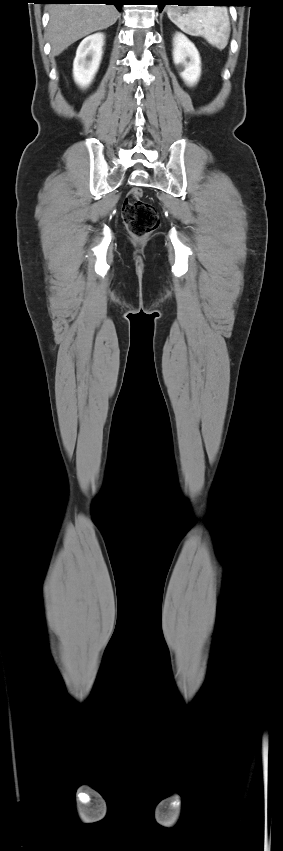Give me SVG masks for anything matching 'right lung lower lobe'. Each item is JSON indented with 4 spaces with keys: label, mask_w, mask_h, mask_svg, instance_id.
Listing matches in <instances>:
<instances>
[{
    "label": "right lung lower lobe",
    "mask_w": 283,
    "mask_h": 851,
    "mask_svg": "<svg viewBox=\"0 0 283 851\" xmlns=\"http://www.w3.org/2000/svg\"><path fill=\"white\" fill-rule=\"evenodd\" d=\"M125 0H45L48 4H107L120 10Z\"/></svg>",
    "instance_id": "98d812e1"
}]
</instances>
